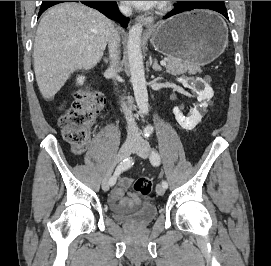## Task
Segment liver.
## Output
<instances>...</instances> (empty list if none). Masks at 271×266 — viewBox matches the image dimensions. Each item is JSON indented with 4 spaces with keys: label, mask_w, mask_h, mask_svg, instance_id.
Returning a JSON list of instances; mask_svg holds the SVG:
<instances>
[{
    "label": "liver",
    "mask_w": 271,
    "mask_h": 266,
    "mask_svg": "<svg viewBox=\"0 0 271 266\" xmlns=\"http://www.w3.org/2000/svg\"><path fill=\"white\" fill-rule=\"evenodd\" d=\"M115 28L97 10L78 3L50 8L34 42V72L42 96L51 99L76 70L94 68Z\"/></svg>",
    "instance_id": "obj_1"
}]
</instances>
